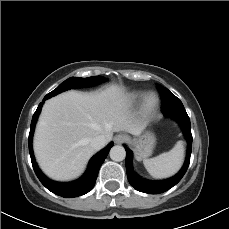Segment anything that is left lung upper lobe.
<instances>
[{"instance_id":"obj_1","label":"left lung upper lobe","mask_w":229,"mask_h":229,"mask_svg":"<svg viewBox=\"0 0 229 229\" xmlns=\"http://www.w3.org/2000/svg\"><path fill=\"white\" fill-rule=\"evenodd\" d=\"M162 97V112L169 114L174 111L185 110L182 102L172 94L167 88L159 86Z\"/></svg>"}]
</instances>
